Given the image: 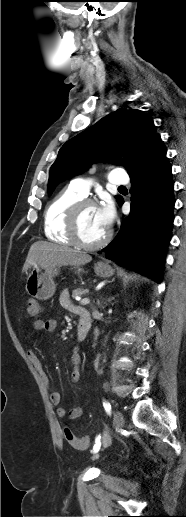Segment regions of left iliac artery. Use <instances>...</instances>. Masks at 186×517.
Wrapping results in <instances>:
<instances>
[{
    "label": "left iliac artery",
    "instance_id": "left-iliac-artery-1",
    "mask_svg": "<svg viewBox=\"0 0 186 517\" xmlns=\"http://www.w3.org/2000/svg\"><path fill=\"white\" fill-rule=\"evenodd\" d=\"M103 406H104V409L107 412V414H110L111 413V405H110V403L108 401H104L103 402ZM100 447H101V436L98 435L96 437V439H95V444L93 446L92 452L93 453H97L99 451Z\"/></svg>",
    "mask_w": 186,
    "mask_h": 517
}]
</instances>
